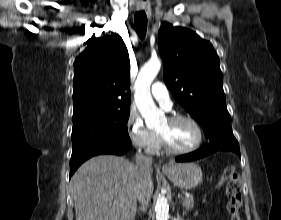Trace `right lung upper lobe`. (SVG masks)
I'll use <instances>...</instances> for the list:
<instances>
[{"instance_id": "1", "label": "right lung upper lobe", "mask_w": 281, "mask_h": 220, "mask_svg": "<svg viewBox=\"0 0 281 220\" xmlns=\"http://www.w3.org/2000/svg\"><path fill=\"white\" fill-rule=\"evenodd\" d=\"M129 55L119 35L94 40L74 62L72 118L130 107Z\"/></svg>"}]
</instances>
